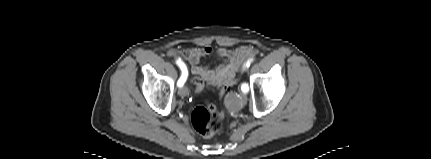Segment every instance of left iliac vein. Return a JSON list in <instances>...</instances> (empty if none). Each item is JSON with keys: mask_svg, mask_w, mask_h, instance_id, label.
Segmentation results:
<instances>
[{"mask_svg": "<svg viewBox=\"0 0 431 159\" xmlns=\"http://www.w3.org/2000/svg\"><path fill=\"white\" fill-rule=\"evenodd\" d=\"M239 101L241 104H245L247 102V96L245 93H240Z\"/></svg>", "mask_w": 431, "mask_h": 159, "instance_id": "4c4485c4", "label": "left iliac vein"}]
</instances>
